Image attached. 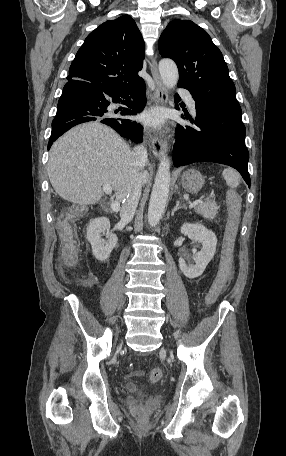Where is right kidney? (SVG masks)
<instances>
[{
  "instance_id": "1",
  "label": "right kidney",
  "mask_w": 286,
  "mask_h": 456,
  "mask_svg": "<svg viewBox=\"0 0 286 456\" xmlns=\"http://www.w3.org/2000/svg\"><path fill=\"white\" fill-rule=\"evenodd\" d=\"M108 235V240L101 238L102 234ZM86 239L90 242L92 253L98 261H105L115 248L118 238L110 232V222L106 217L92 219L87 226Z\"/></svg>"
}]
</instances>
